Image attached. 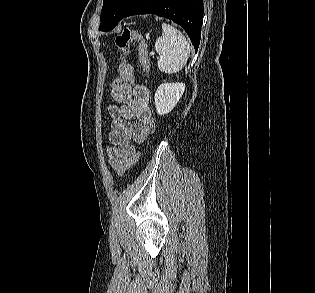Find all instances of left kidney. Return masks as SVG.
Segmentation results:
<instances>
[{
	"mask_svg": "<svg viewBox=\"0 0 315 293\" xmlns=\"http://www.w3.org/2000/svg\"><path fill=\"white\" fill-rule=\"evenodd\" d=\"M185 91L184 83H163L155 95V107L159 115H164L173 110Z\"/></svg>",
	"mask_w": 315,
	"mask_h": 293,
	"instance_id": "left-kidney-1",
	"label": "left kidney"
}]
</instances>
